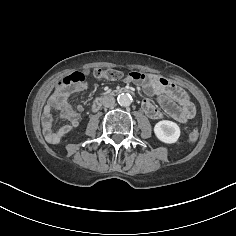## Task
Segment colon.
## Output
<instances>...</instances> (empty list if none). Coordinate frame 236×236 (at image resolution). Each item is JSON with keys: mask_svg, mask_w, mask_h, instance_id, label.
<instances>
[{"mask_svg": "<svg viewBox=\"0 0 236 236\" xmlns=\"http://www.w3.org/2000/svg\"><path fill=\"white\" fill-rule=\"evenodd\" d=\"M95 78H104L107 80H118L122 77L123 73L117 69H96L91 73ZM129 77L134 81H140L144 78L145 74L140 72H130ZM86 74L83 72H74L70 74L67 83L79 84L84 82ZM199 133L196 129L192 130L189 134L190 141L194 142L198 139Z\"/></svg>", "mask_w": 236, "mask_h": 236, "instance_id": "5ec220e1", "label": "colon"}]
</instances>
